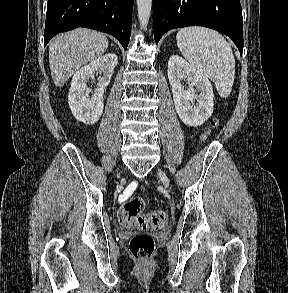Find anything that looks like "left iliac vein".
<instances>
[{
  "instance_id": "left-iliac-vein-1",
  "label": "left iliac vein",
  "mask_w": 288,
  "mask_h": 293,
  "mask_svg": "<svg viewBox=\"0 0 288 293\" xmlns=\"http://www.w3.org/2000/svg\"><path fill=\"white\" fill-rule=\"evenodd\" d=\"M158 175L164 184L168 183V177L166 176V174L162 170L158 169Z\"/></svg>"
}]
</instances>
